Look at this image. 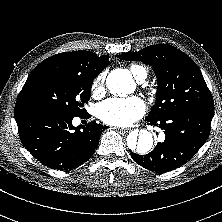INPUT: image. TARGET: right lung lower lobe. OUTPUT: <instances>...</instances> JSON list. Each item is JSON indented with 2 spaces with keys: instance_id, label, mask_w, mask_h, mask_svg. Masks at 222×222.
Instances as JSON below:
<instances>
[{
  "instance_id": "98d812e1",
  "label": "right lung lower lobe",
  "mask_w": 222,
  "mask_h": 222,
  "mask_svg": "<svg viewBox=\"0 0 222 222\" xmlns=\"http://www.w3.org/2000/svg\"><path fill=\"white\" fill-rule=\"evenodd\" d=\"M14 116L24 147L45 166L62 171L89 160L107 128L95 121L74 127V116L45 107H15Z\"/></svg>"
}]
</instances>
